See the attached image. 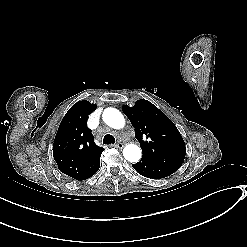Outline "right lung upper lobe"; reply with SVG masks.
Listing matches in <instances>:
<instances>
[{
    "label": "right lung upper lobe",
    "instance_id": "1",
    "mask_svg": "<svg viewBox=\"0 0 247 247\" xmlns=\"http://www.w3.org/2000/svg\"><path fill=\"white\" fill-rule=\"evenodd\" d=\"M95 108L88 101L75 103L65 114L54 139L53 157L59 170L77 180L94 168L104 150L95 144L86 124Z\"/></svg>",
    "mask_w": 247,
    "mask_h": 247
}]
</instances>
